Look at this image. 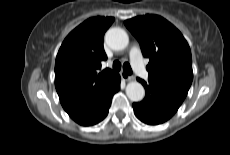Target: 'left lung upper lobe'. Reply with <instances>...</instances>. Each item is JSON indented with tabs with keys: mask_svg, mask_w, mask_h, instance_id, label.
<instances>
[{
	"mask_svg": "<svg viewBox=\"0 0 230 155\" xmlns=\"http://www.w3.org/2000/svg\"><path fill=\"white\" fill-rule=\"evenodd\" d=\"M125 25L150 60L148 81L183 101L193 71L190 47L181 32L158 15L138 16L126 20Z\"/></svg>",
	"mask_w": 230,
	"mask_h": 155,
	"instance_id": "obj_1",
	"label": "left lung upper lobe"
}]
</instances>
